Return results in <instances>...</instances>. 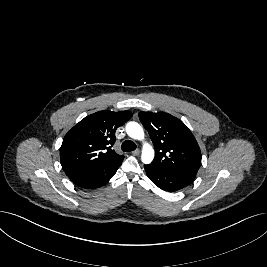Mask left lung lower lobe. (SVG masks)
<instances>
[{
  "label": "left lung lower lobe",
  "mask_w": 267,
  "mask_h": 267,
  "mask_svg": "<svg viewBox=\"0 0 267 267\" xmlns=\"http://www.w3.org/2000/svg\"><path fill=\"white\" fill-rule=\"evenodd\" d=\"M144 168L147 176L152 180V182L164 191L174 192L180 190L188 186L193 181L188 177L163 171L151 164L144 165Z\"/></svg>",
  "instance_id": "0a47b994"
}]
</instances>
